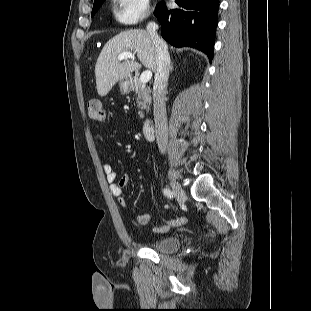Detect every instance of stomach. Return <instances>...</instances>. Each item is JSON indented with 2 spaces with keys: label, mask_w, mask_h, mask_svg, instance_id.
<instances>
[{
  "label": "stomach",
  "mask_w": 311,
  "mask_h": 311,
  "mask_svg": "<svg viewBox=\"0 0 311 311\" xmlns=\"http://www.w3.org/2000/svg\"><path fill=\"white\" fill-rule=\"evenodd\" d=\"M119 89L122 94H128L132 89V79L130 77L119 80Z\"/></svg>",
  "instance_id": "stomach-1"
}]
</instances>
